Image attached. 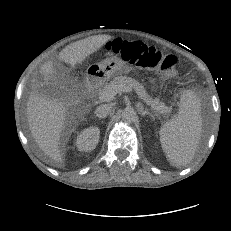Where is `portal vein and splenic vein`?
Masks as SVG:
<instances>
[{
	"label": "portal vein and splenic vein",
	"mask_w": 231,
	"mask_h": 231,
	"mask_svg": "<svg viewBox=\"0 0 231 231\" xmlns=\"http://www.w3.org/2000/svg\"><path fill=\"white\" fill-rule=\"evenodd\" d=\"M131 91L132 89L127 85H123V84L115 85L113 87H110L106 91L101 92L98 95V99L103 102L110 101L119 92H131Z\"/></svg>",
	"instance_id": "18ae733b"
}]
</instances>
